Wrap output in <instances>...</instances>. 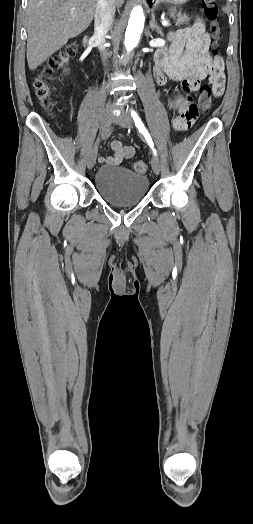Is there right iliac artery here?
<instances>
[{
  "instance_id": "1",
  "label": "right iliac artery",
  "mask_w": 253,
  "mask_h": 524,
  "mask_svg": "<svg viewBox=\"0 0 253 524\" xmlns=\"http://www.w3.org/2000/svg\"><path fill=\"white\" fill-rule=\"evenodd\" d=\"M113 129H114V126H111V127L107 128V130L102 133L101 137L97 138L96 144H99L101 141L106 140L112 134Z\"/></svg>"
}]
</instances>
